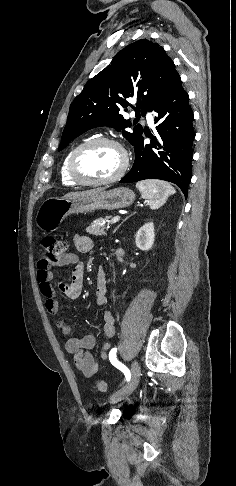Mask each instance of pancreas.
I'll return each instance as SVG.
<instances>
[{
	"label": "pancreas",
	"mask_w": 236,
	"mask_h": 486,
	"mask_svg": "<svg viewBox=\"0 0 236 486\" xmlns=\"http://www.w3.org/2000/svg\"><path fill=\"white\" fill-rule=\"evenodd\" d=\"M111 217L98 218L86 229L89 234L100 236L105 234V230L110 227Z\"/></svg>",
	"instance_id": "pancreas-1"
}]
</instances>
